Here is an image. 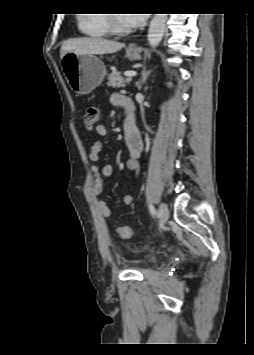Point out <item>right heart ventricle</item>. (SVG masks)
I'll list each match as a JSON object with an SVG mask.
<instances>
[{
    "mask_svg": "<svg viewBox=\"0 0 254 355\" xmlns=\"http://www.w3.org/2000/svg\"><path fill=\"white\" fill-rule=\"evenodd\" d=\"M108 13H84L78 18L80 31L91 38H105L110 35L108 27Z\"/></svg>",
    "mask_w": 254,
    "mask_h": 355,
    "instance_id": "e07e8e85",
    "label": "right heart ventricle"
}]
</instances>
